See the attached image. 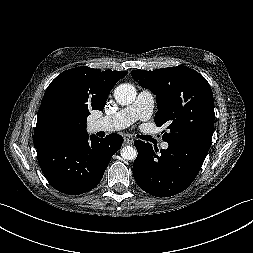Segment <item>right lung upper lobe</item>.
<instances>
[{
    "label": "right lung upper lobe",
    "mask_w": 253,
    "mask_h": 253,
    "mask_svg": "<svg viewBox=\"0 0 253 253\" xmlns=\"http://www.w3.org/2000/svg\"><path fill=\"white\" fill-rule=\"evenodd\" d=\"M127 75L126 71L76 67L59 74L48 86L38 111L33 142L35 148L56 137L69 138L86 135V119L91 109L103 110L114 84ZM54 107L66 110L70 124L62 131L49 125Z\"/></svg>",
    "instance_id": "right-lung-upper-lobe-1"
}]
</instances>
